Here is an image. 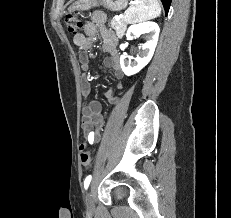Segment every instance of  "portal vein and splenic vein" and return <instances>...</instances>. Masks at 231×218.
<instances>
[{
	"mask_svg": "<svg viewBox=\"0 0 231 218\" xmlns=\"http://www.w3.org/2000/svg\"><path fill=\"white\" fill-rule=\"evenodd\" d=\"M122 16H115L116 20H119Z\"/></svg>",
	"mask_w": 231,
	"mask_h": 218,
	"instance_id": "obj_1",
	"label": "portal vein and splenic vein"
}]
</instances>
